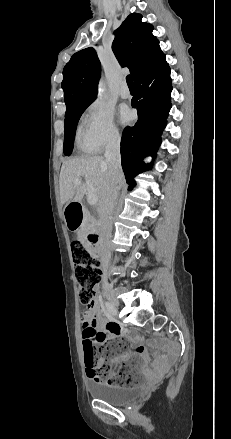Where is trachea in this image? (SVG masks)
I'll use <instances>...</instances> for the list:
<instances>
[{"mask_svg": "<svg viewBox=\"0 0 231 439\" xmlns=\"http://www.w3.org/2000/svg\"><path fill=\"white\" fill-rule=\"evenodd\" d=\"M126 82H127V85H128L129 87H134V83H133V79H132V76H131V75H128V76L126 77Z\"/></svg>", "mask_w": 231, "mask_h": 439, "instance_id": "1", "label": "trachea"}]
</instances>
